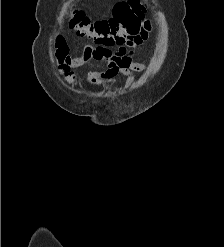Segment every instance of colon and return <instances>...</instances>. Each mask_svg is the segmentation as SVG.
<instances>
[{
	"instance_id": "1",
	"label": "colon",
	"mask_w": 224,
	"mask_h": 247,
	"mask_svg": "<svg viewBox=\"0 0 224 247\" xmlns=\"http://www.w3.org/2000/svg\"><path fill=\"white\" fill-rule=\"evenodd\" d=\"M146 11L147 3L144 0H128L117 3L110 18L92 21L84 11L68 5L65 18L77 35L104 42L137 32ZM60 71L68 76L72 74L67 64H61Z\"/></svg>"
}]
</instances>
